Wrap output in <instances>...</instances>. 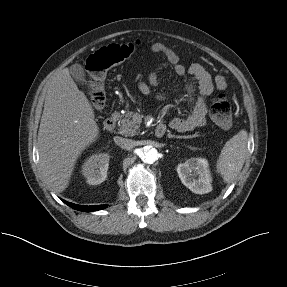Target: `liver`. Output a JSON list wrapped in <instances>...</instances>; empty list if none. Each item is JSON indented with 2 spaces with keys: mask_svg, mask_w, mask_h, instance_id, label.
<instances>
[{
  "mask_svg": "<svg viewBox=\"0 0 287 287\" xmlns=\"http://www.w3.org/2000/svg\"><path fill=\"white\" fill-rule=\"evenodd\" d=\"M94 110L64 68L54 75L45 97L38 131L43 176L56 192H63L81 153L93 143L99 128Z\"/></svg>",
  "mask_w": 287,
  "mask_h": 287,
  "instance_id": "6515ba94",
  "label": "liver"
}]
</instances>
